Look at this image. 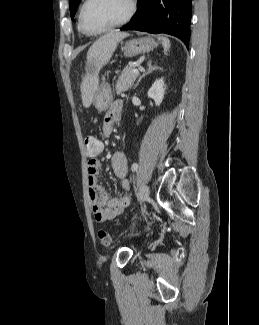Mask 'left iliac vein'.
Listing matches in <instances>:
<instances>
[{
  "mask_svg": "<svg viewBox=\"0 0 259 325\" xmlns=\"http://www.w3.org/2000/svg\"><path fill=\"white\" fill-rule=\"evenodd\" d=\"M149 197V187L147 185H143L141 188V196L140 203L145 202Z\"/></svg>",
  "mask_w": 259,
  "mask_h": 325,
  "instance_id": "left-iliac-vein-1",
  "label": "left iliac vein"
}]
</instances>
